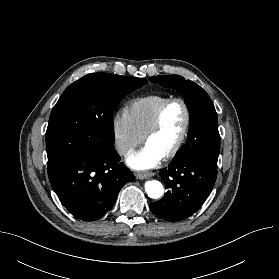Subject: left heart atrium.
Returning <instances> with one entry per match:
<instances>
[{
	"instance_id": "obj_1",
	"label": "left heart atrium",
	"mask_w": 279,
	"mask_h": 279,
	"mask_svg": "<svg viewBox=\"0 0 279 279\" xmlns=\"http://www.w3.org/2000/svg\"><path fill=\"white\" fill-rule=\"evenodd\" d=\"M162 159L157 151L146 145L143 149L133 153L127 159L129 166L137 170L152 168Z\"/></svg>"
}]
</instances>
